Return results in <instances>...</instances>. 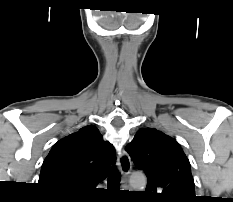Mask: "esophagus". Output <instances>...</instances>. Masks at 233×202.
<instances>
[{
	"label": "esophagus",
	"instance_id": "34e87169",
	"mask_svg": "<svg viewBox=\"0 0 233 202\" xmlns=\"http://www.w3.org/2000/svg\"><path fill=\"white\" fill-rule=\"evenodd\" d=\"M118 165L122 176L126 179L132 169V162L130 156L125 151H122L118 156Z\"/></svg>",
	"mask_w": 233,
	"mask_h": 202
}]
</instances>
